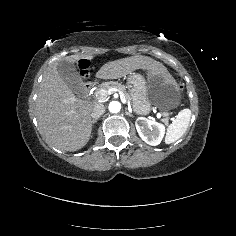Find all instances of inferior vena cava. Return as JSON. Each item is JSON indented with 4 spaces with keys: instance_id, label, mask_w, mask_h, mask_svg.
I'll list each match as a JSON object with an SVG mask.
<instances>
[{
    "instance_id": "obj_1",
    "label": "inferior vena cava",
    "mask_w": 236,
    "mask_h": 236,
    "mask_svg": "<svg viewBox=\"0 0 236 236\" xmlns=\"http://www.w3.org/2000/svg\"><path fill=\"white\" fill-rule=\"evenodd\" d=\"M105 112L103 103H97L91 108V117L93 120L98 119Z\"/></svg>"
}]
</instances>
